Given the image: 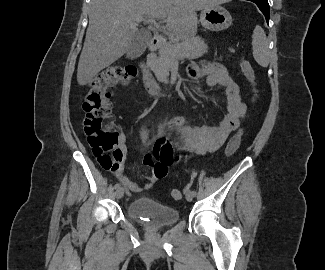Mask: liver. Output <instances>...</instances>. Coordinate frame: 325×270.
<instances>
[{"instance_id": "obj_1", "label": "liver", "mask_w": 325, "mask_h": 270, "mask_svg": "<svg viewBox=\"0 0 325 270\" xmlns=\"http://www.w3.org/2000/svg\"><path fill=\"white\" fill-rule=\"evenodd\" d=\"M217 4V0H92L78 63V84L85 86L126 53L139 31L137 17L164 18L166 29L186 40L197 32L195 11Z\"/></svg>"}]
</instances>
